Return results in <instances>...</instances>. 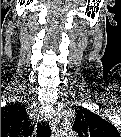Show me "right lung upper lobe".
Masks as SVG:
<instances>
[{"instance_id": "1", "label": "right lung upper lobe", "mask_w": 121, "mask_h": 137, "mask_svg": "<svg viewBox=\"0 0 121 137\" xmlns=\"http://www.w3.org/2000/svg\"><path fill=\"white\" fill-rule=\"evenodd\" d=\"M31 131L24 107L11 104L1 108V135H29Z\"/></svg>"}]
</instances>
